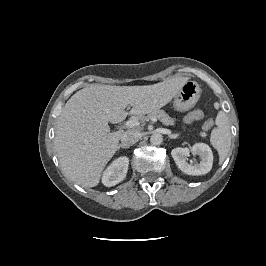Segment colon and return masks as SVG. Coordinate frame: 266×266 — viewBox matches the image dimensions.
<instances>
[{"mask_svg":"<svg viewBox=\"0 0 266 266\" xmlns=\"http://www.w3.org/2000/svg\"><path fill=\"white\" fill-rule=\"evenodd\" d=\"M203 117H204V113L201 110H194L186 116V121L192 122L195 120H200ZM211 126H212V120L210 119L205 120V122L203 123L204 129H209Z\"/></svg>","mask_w":266,"mask_h":266,"instance_id":"1","label":"colon"}]
</instances>
